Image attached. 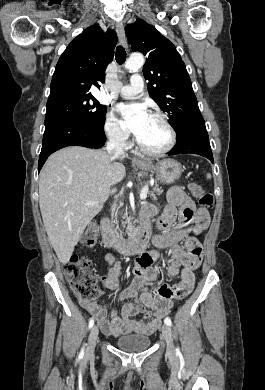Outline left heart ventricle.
Wrapping results in <instances>:
<instances>
[{
  "label": "left heart ventricle",
  "mask_w": 265,
  "mask_h": 390,
  "mask_svg": "<svg viewBox=\"0 0 265 390\" xmlns=\"http://www.w3.org/2000/svg\"><path fill=\"white\" fill-rule=\"evenodd\" d=\"M138 139L146 148L159 150L168 143L169 134L167 129L158 119L149 116Z\"/></svg>",
  "instance_id": "b2bd125f"
}]
</instances>
